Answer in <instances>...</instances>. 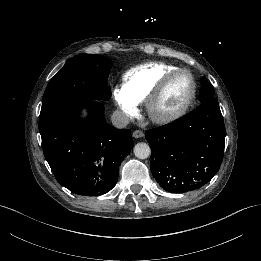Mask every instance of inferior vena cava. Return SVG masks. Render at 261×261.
<instances>
[{
    "mask_svg": "<svg viewBox=\"0 0 261 261\" xmlns=\"http://www.w3.org/2000/svg\"><path fill=\"white\" fill-rule=\"evenodd\" d=\"M112 124L119 129L125 128L129 124V117L122 111H114L111 116Z\"/></svg>",
    "mask_w": 261,
    "mask_h": 261,
    "instance_id": "1",
    "label": "inferior vena cava"
}]
</instances>
